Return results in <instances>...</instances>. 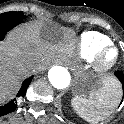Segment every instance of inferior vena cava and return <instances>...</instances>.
I'll list each match as a JSON object with an SVG mask.
<instances>
[{
	"label": "inferior vena cava",
	"instance_id": "inferior-vena-cava-1",
	"mask_svg": "<svg viewBox=\"0 0 124 124\" xmlns=\"http://www.w3.org/2000/svg\"><path fill=\"white\" fill-rule=\"evenodd\" d=\"M30 70L32 72H37L39 70V65L37 63H35L34 61H31L30 63Z\"/></svg>",
	"mask_w": 124,
	"mask_h": 124
}]
</instances>
